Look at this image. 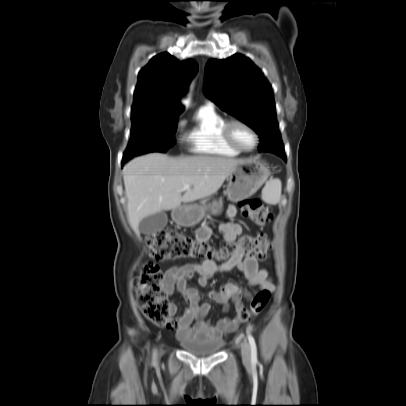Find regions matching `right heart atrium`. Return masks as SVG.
I'll use <instances>...</instances> for the list:
<instances>
[{
	"label": "right heart atrium",
	"instance_id": "obj_1",
	"mask_svg": "<svg viewBox=\"0 0 406 406\" xmlns=\"http://www.w3.org/2000/svg\"><path fill=\"white\" fill-rule=\"evenodd\" d=\"M185 122L183 120L178 121L177 128L181 129L184 126Z\"/></svg>",
	"mask_w": 406,
	"mask_h": 406
}]
</instances>
